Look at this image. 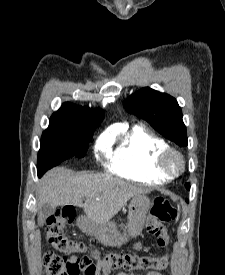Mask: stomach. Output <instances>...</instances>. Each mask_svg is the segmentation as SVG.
I'll use <instances>...</instances> for the list:
<instances>
[{"label": "stomach", "mask_w": 225, "mask_h": 275, "mask_svg": "<svg viewBox=\"0 0 225 275\" xmlns=\"http://www.w3.org/2000/svg\"><path fill=\"white\" fill-rule=\"evenodd\" d=\"M151 207L152 203L147 196L143 194L134 196L129 204L127 224L123 232L113 222L97 224L88 218L84 219L82 228L106 246H121L130 237H137L141 234Z\"/></svg>", "instance_id": "0dacf381"}]
</instances>
